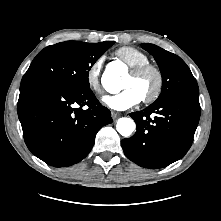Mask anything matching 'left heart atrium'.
<instances>
[{
	"mask_svg": "<svg viewBox=\"0 0 221 221\" xmlns=\"http://www.w3.org/2000/svg\"><path fill=\"white\" fill-rule=\"evenodd\" d=\"M142 97L133 87H127L120 92L105 96L103 102L114 110H127L139 104Z\"/></svg>",
	"mask_w": 221,
	"mask_h": 221,
	"instance_id": "obj_1",
	"label": "left heart atrium"
}]
</instances>
